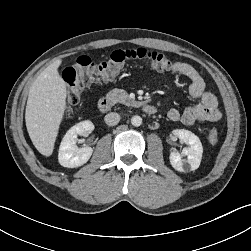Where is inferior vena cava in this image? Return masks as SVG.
I'll use <instances>...</instances> for the list:
<instances>
[{
	"instance_id": "1",
	"label": "inferior vena cava",
	"mask_w": 251,
	"mask_h": 251,
	"mask_svg": "<svg viewBox=\"0 0 251 251\" xmlns=\"http://www.w3.org/2000/svg\"><path fill=\"white\" fill-rule=\"evenodd\" d=\"M104 120L107 125L114 126L120 121V115L118 113L111 112L105 116Z\"/></svg>"
}]
</instances>
